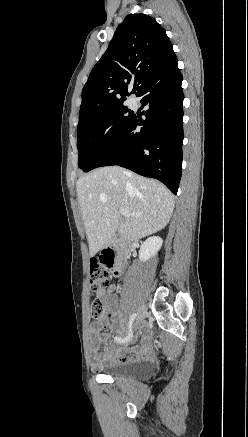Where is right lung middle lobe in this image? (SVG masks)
Listing matches in <instances>:
<instances>
[{"label":"right lung middle lobe","mask_w":248,"mask_h":437,"mask_svg":"<svg viewBox=\"0 0 248 437\" xmlns=\"http://www.w3.org/2000/svg\"><path fill=\"white\" fill-rule=\"evenodd\" d=\"M123 101L92 115L77 127L78 164L84 172L92 170L132 119L134 114Z\"/></svg>","instance_id":"dd1d6c3e"}]
</instances>
